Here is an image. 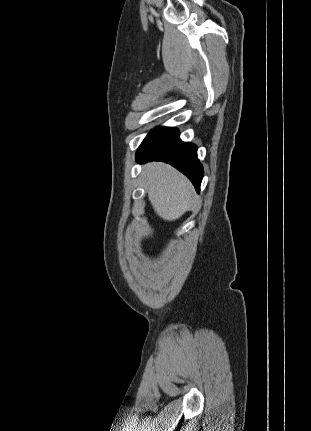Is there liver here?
I'll return each mask as SVG.
<instances>
[{"mask_svg": "<svg viewBox=\"0 0 311 431\" xmlns=\"http://www.w3.org/2000/svg\"><path fill=\"white\" fill-rule=\"evenodd\" d=\"M142 176L148 198L158 216L169 221L178 219L192 206V184L168 164H147Z\"/></svg>", "mask_w": 311, "mask_h": 431, "instance_id": "obj_1", "label": "liver"}]
</instances>
